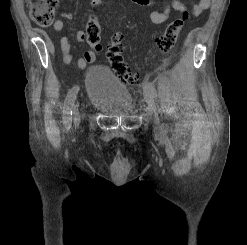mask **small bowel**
Returning a JSON list of instances; mask_svg holds the SVG:
<instances>
[{
  "label": "small bowel",
  "mask_w": 247,
  "mask_h": 245,
  "mask_svg": "<svg viewBox=\"0 0 247 245\" xmlns=\"http://www.w3.org/2000/svg\"><path fill=\"white\" fill-rule=\"evenodd\" d=\"M137 2L140 5H150L152 3V0H133ZM90 3L92 5H97L98 3L94 0H90ZM211 0H199V2L192 8L191 11H189L186 6L180 1V0H171L169 4L165 7L164 10H154L150 14V19L154 24H163L165 23L172 10L177 11L182 14H191L192 16H198L203 11L207 10L210 7ZM62 18L66 20H72L74 18L73 14L70 11H65L62 13ZM64 22L61 19H58L53 24V28L57 32H61L64 30ZM74 37L78 41H84L85 34L83 31H77L74 34ZM114 37L117 39L121 38L120 33H115ZM60 46L62 50V59L65 64H73L78 69H84L87 64L92 63L96 59V54L93 50H87L83 57L74 60L73 56L71 54V45L69 38L67 36H63L60 40Z\"/></svg>",
  "instance_id": "1"
}]
</instances>
